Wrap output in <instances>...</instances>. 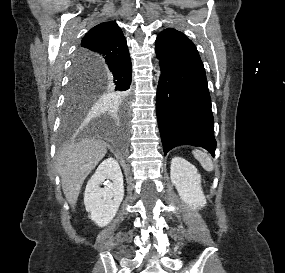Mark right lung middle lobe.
Wrapping results in <instances>:
<instances>
[{
  "label": "right lung middle lobe",
  "instance_id": "obj_1",
  "mask_svg": "<svg viewBox=\"0 0 285 273\" xmlns=\"http://www.w3.org/2000/svg\"><path fill=\"white\" fill-rule=\"evenodd\" d=\"M99 85L98 76L79 73L73 66L62 116L63 130L67 131L76 126L103 94L105 97L113 96L116 101L124 99L123 94L114 93L111 88L101 92Z\"/></svg>",
  "mask_w": 285,
  "mask_h": 273
}]
</instances>
